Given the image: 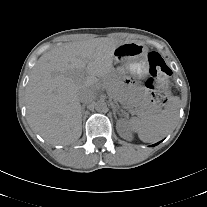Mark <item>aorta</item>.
Listing matches in <instances>:
<instances>
[{"mask_svg": "<svg viewBox=\"0 0 207 207\" xmlns=\"http://www.w3.org/2000/svg\"><path fill=\"white\" fill-rule=\"evenodd\" d=\"M95 109L98 112H107L108 110L107 103L104 100H99L95 103Z\"/></svg>", "mask_w": 207, "mask_h": 207, "instance_id": "1", "label": "aorta"}]
</instances>
